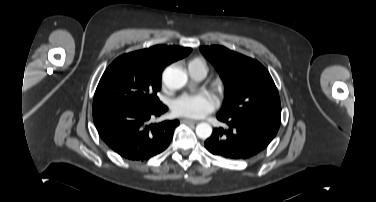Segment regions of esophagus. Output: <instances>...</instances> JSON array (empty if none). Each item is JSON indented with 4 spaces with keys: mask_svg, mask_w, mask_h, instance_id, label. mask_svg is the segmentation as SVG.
Wrapping results in <instances>:
<instances>
[{
    "mask_svg": "<svg viewBox=\"0 0 376 202\" xmlns=\"http://www.w3.org/2000/svg\"><path fill=\"white\" fill-rule=\"evenodd\" d=\"M182 122H184V123H188V124H196L197 123V121L196 120H191V119H182L181 120Z\"/></svg>",
    "mask_w": 376,
    "mask_h": 202,
    "instance_id": "1",
    "label": "esophagus"
}]
</instances>
